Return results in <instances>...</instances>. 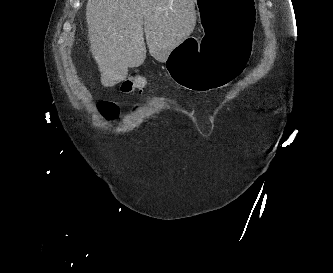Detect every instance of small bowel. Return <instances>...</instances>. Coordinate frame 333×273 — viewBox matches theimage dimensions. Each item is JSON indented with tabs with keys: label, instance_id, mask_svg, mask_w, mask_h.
Here are the masks:
<instances>
[{
	"label": "small bowel",
	"instance_id": "1",
	"mask_svg": "<svg viewBox=\"0 0 333 273\" xmlns=\"http://www.w3.org/2000/svg\"><path fill=\"white\" fill-rule=\"evenodd\" d=\"M138 87H144V85H138V82H135Z\"/></svg>",
	"mask_w": 333,
	"mask_h": 273
}]
</instances>
